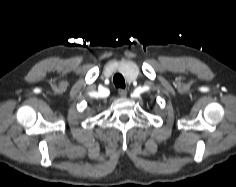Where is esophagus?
<instances>
[{
	"label": "esophagus",
	"mask_w": 236,
	"mask_h": 187,
	"mask_svg": "<svg viewBox=\"0 0 236 187\" xmlns=\"http://www.w3.org/2000/svg\"><path fill=\"white\" fill-rule=\"evenodd\" d=\"M118 93L121 97H126L127 96V91L125 89L120 88L118 90Z\"/></svg>",
	"instance_id": "1"
}]
</instances>
